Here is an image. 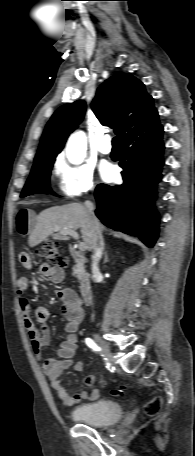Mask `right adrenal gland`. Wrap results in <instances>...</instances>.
I'll use <instances>...</instances> for the list:
<instances>
[{
	"mask_svg": "<svg viewBox=\"0 0 195 456\" xmlns=\"http://www.w3.org/2000/svg\"><path fill=\"white\" fill-rule=\"evenodd\" d=\"M104 257H105V258H104V262H105V263L108 262L109 259H108L107 251L104 252Z\"/></svg>",
	"mask_w": 195,
	"mask_h": 456,
	"instance_id": "2a0ac1e0",
	"label": "right adrenal gland"
}]
</instances>
